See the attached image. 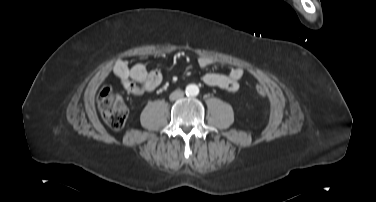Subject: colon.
<instances>
[{"label":"colon","mask_w":376,"mask_h":202,"mask_svg":"<svg viewBox=\"0 0 376 202\" xmlns=\"http://www.w3.org/2000/svg\"><path fill=\"white\" fill-rule=\"evenodd\" d=\"M256 91L263 96L266 90L258 85ZM98 108L105 123L114 130L124 127L128 118L129 109L124 98L112 92L108 87L103 88L98 95Z\"/></svg>","instance_id":"obj_1"}]
</instances>
